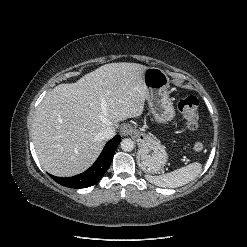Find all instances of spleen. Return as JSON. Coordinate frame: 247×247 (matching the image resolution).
I'll list each match as a JSON object with an SVG mask.
<instances>
[{
  "instance_id": "spleen-1",
  "label": "spleen",
  "mask_w": 247,
  "mask_h": 247,
  "mask_svg": "<svg viewBox=\"0 0 247 247\" xmlns=\"http://www.w3.org/2000/svg\"><path fill=\"white\" fill-rule=\"evenodd\" d=\"M202 165L198 162L176 169L170 173L159 176H147V179L159 187L176 188L194 180L201 172Z\"/></svg>"
}]
</instances>
